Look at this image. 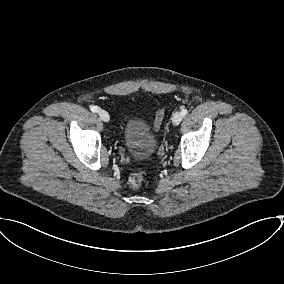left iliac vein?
<instances>
[{
  "instance_id": "1",
  "label": "left iliac vein",
  "mask_w": 284,
  "mask_h": 284,
  "mask_svg": "<svg viewBox=\"0 0 284 284\" xmlns=\"http://www.w3.org/2000/svg\"><path fill=\"white\" fill-rule=\"evenodd\" d=\"M182 119H183V115L181 114V112H176L174 113L172 117V122L174 125H179Z\"/></svg>"
}]
</instances>
